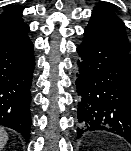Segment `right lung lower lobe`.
<instances>
[{"label": "right lung lower lobe", "mask_w": 131, "mask_h": 151, "mask_svg": "<svg viewBox=\"0 0 131 151\" xmlns=\"http://www.w3.org/2000/svg\"><path fill=\"white\" fill-rule=\"evenodd\" d=\"M28 31L0 35V125L20 132L29 141L30 88L35 67Z\"/></svg>", "instance_id": "obj_1"}]
</instances>
